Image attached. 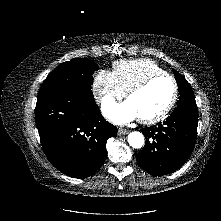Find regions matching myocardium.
Masks as SVG:
<instances>
[{
	"label": "myocardium",
	"mask_w": 221,
	"mask_h": 221,
	"mask_svg": "<svg viewBox=\"0 0 221 221\" xmlns=\"http://www.w3.org/2000/svg\"><path fill=\"white\" fill-rule=\"evenodd\" d=\"M159 78H168L172 82V85H173L172 97H171L170 101L168 102V104L166 105V107L158 114H156L152 117H148V118L139 117L138 120L143 124L158 123L161 120H163L170 113V111L172 110V108L174 107V105L177 102L178 94H179V89H178V84H177L176 79L172 75H170L166 72L156 73V74L146 77L145 79H143L141 82H139L136 85H134L133 87H131L126 92V98L128 100L133 94L144 90L149 84H151L154 80L159 79Z\"/></svg>",
	"instance_id": "f54148a6"
}]
</instances>
